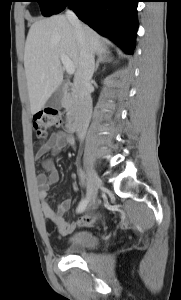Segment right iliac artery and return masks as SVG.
<instances>
[{
  "instance_id": "obj_1",
  "label": "right iliac artery",
  "mask_w": 181,
  "mask_h": 300,
  "mask_svg": "<svg viewBox=\"0 0 181 300\" xmlns=\"http://www.w3.org/2000/svg\"><path fill=\"white\" fill-rule=\"evenodd\" d=\"M87 187H88V186H87ZM88 202H89L88 197L82 199L81 202H80V204H79V206H78V208H77V212H78V213L83 212V211L85 210V208H86Z\"/></svg>"
}]
</instances>
